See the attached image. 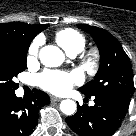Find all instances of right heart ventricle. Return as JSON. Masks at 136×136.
I'll return each instance as SVG.
<instances>
[{"label":"right heart ventricle","mask_w":136,"mask_h":136,"mask_svg":"<svg viewBox=\"0 0 136 136\" xmlns=\"http://www.w3.org/2000/svg\"><path fill=\"white\" fill-rule=\"evenodd\" d=\"M56 42L68 53H79L85 47V38L77 30L66 28L55 35Z\"/></svg>","instance_id":"1"}]
</instances>
